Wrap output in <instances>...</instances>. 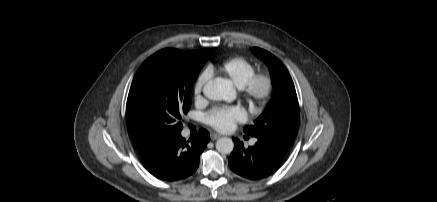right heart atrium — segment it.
Returning <instances> with one entry per match:
<instances>
[{
	"mask_svg": "<svg viewBox=\"0 0 437 202\" xmlns=\"http://www.w3.org/2000/svg\"><path fill=\"white\" fill-rule=\"evenodd\" d=\"M208 79H209V73L207 71L202 72L198 76V78L195 82V85H194V93L197 97H199L201 95L202 90H203L206 82L208 81Z\"/></svg>",
	"mask_w": 437,
	"mask_h": 202,
	"instance_id": "right-heart-atrium-1",
	"label": "right heart atrium"
}]
</instances>
